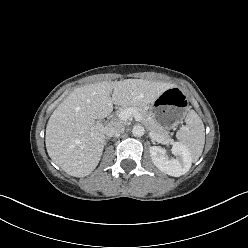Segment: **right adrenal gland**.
<instances>
[{
	"instance_id": "obj_1",
	"label": "right adrenal gland",
	"mask_w": 248,
	"mask_h": 248,
	"mask_svg": "<svg viewBox=\"0 0 248 248\" xmlns=\"http://www.w3.org/2000/svg\"><path fill=\"white\" fill-rule=\"evenodd\" d=\"M109 139H110V138H106V140H105V145L107 144V142H108Z\"/></svg>"
}]
</instances>
